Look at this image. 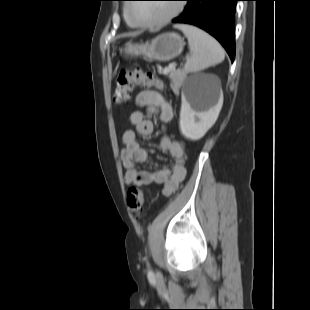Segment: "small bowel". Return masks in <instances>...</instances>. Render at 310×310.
I'll use <instances>...</instances> for the list:
<instances>
[{
	"label": "small bowel",
	"mask_w": 310,
	"mask_h": 310,
	"mask_svg": "<svg viewBox=\"0 0 310 310\" xmlns=\"http://www.w3.org/2000/svg\"><path fill=\"white\" fill-rule=\"evenodd\" d=\"M136 104L143 110H135L129 116L130 124L135 130H126L122 135L124 147L120 158L125 170L124 182L127 185L137 187L152 183L162 185L164 196L172 195L184 181L186 168L184 165L185 144L182 141L173 140L167 134L159 139V147L174 158L172 167H163L158 171H140L138 164L144 163L148 154L141 146L137 135L149 136L153 132V123L146 118L147 114H157L163 123H168L173 118L171 105L155 90H142L136 96Z\"/></svg>",
	"instance_id": "c3829d8e"
}]
</instances>
